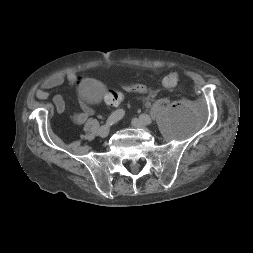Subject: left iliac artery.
<instances>
[{"instance_id":"obj_1","label":"left iliac artery","mask_w":253,"mask_h":253,"mask_svg":"<svg viewBox=\"0 0 253 253\" xmlns=\"http://www.w3.org/2000/svg\"><path fill=\"white\" fill-rule=\"evenodd\" d=\"M149 117H150V116L147 115V114H142V115H140V119L143 120L144 122H147ZM151 123H152V122H151ZM151 123H150V124H151Z\"/></svg>"}]
</instances>
